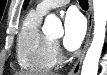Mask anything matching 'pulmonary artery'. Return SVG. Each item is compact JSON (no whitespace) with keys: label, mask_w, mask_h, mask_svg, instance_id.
Wrapping results in <instances>:
<instances>
[{"label":"pulmonary artery","mask_w":107,"mask_h":75,"mask_svg":"<svg viewBox=\"0 0 107 75\" xmlns=\"http://www.w3.org/2000/svg\"><path fill=\"white\" fill-rule=\"evenodd\" d=\"M69 1L70 0H44L37 5L36 11L43 15L54 8L68 4Z\"/></svg>","instance_id":"obj_1"}]
</instances>
